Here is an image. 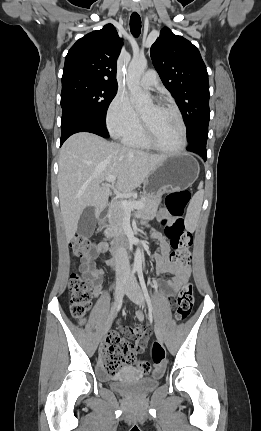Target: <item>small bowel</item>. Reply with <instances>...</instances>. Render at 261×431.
Listing matches in <instances>:
<instances>
[{
  "mask_svg": "<svg viewBox=\"0 0 261 431\" xmlns=\"http://www.w3.org/2000/svg\"><path fill=\"white\" fill-rule=\"evenodd\" d=\"M150 237L154 240L159 247L161 248V253L155 254L154 258L156 261L157 269L161 274H169L172 276L171 279L165 281L164 283H159L161 286V291L164 295L168 297H172L176 294L181 287L188 281L191 268L190 266H178L170 261V245L169 243L162 237V235L158 232H151ZM106 245L103 243L98 244L92 251L90 258L101 256L106 252ZM103 261L107 265L112 264V260L109 258L103 259ZM89 269L91 280L93 282L94 294L99 296L101 293V284L104 275L103 269H97L93 267L92 263L89 261ZM139 319H143V315L141 313L138 314ZM129 334L135 336L136 343L133 347V359L130 364H133L137 367L141 361H137L135 358V354L138 352H143L147 347L148 342V334L145 328L137 327L127 331ZM105 344V342H104ZM103 344V346H104ZM103 349V347H102ZM146 374V373H141Z\"/></svg>",
  "mask_w": 261,
  "mask_h": 431,
  "instance_id": "c3829d8e",
  "label": "small bowel"
}]
</instances>
